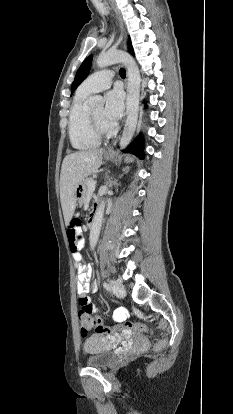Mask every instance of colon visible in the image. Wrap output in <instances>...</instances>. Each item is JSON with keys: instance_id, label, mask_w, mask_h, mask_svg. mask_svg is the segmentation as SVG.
Listing matches in <instances>:
<instances>
[{"instance_id": "colon-1", "label": "colon", "mask_w": 233, "mask_h": 414, "mask_svg": "<svg viewBox=\"0 0 233 414\" xmlns=\"http://www.w3.org/2000/svg\"><path fill=\"white\" fill-rule=\"evenodd\" d=\"M80 220L75 218L68 226L67 234L72 252L80 249L83 243V235L79 230ZM93 305L86 297L79 299V320L81 325V334L86 336L89 331L94 330L98 334L117 335L122 332L132 331L140 333H152V330L143 323L125 321L120 326L108 327L102 323V320L93 314Z\"/></svg>"}]
</instances>
